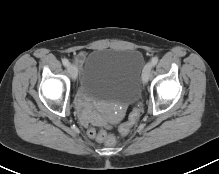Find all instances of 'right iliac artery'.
<instances>
[{"mask_svg": "<svg viewBox=\"0 0 219 174\" xmlns=\"http://www.w3.org/2000/svg\"><path fill=\"white\" fill-rule=\"evenodd\" d=\"M62 63H63V65H64L65 67H68V65H69V61H68V59H66V58H64V59L62 60Z\"/></svg>", "mask_w": 219, "mask_h": 174, "instance_id": "right-iliac-artery-1", "label": "right iliac artery"}]
</instances>
